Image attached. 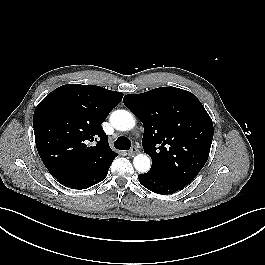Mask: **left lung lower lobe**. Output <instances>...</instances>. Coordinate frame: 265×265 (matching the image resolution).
I'll return each mask as SVG.
<instances>
[{
  "instance_id": "1",
  "label": "left lung lower lobe",
  "mask_w": 265,
  "mask_h": 265,
  "mask_svg": "<svg viewBox=\"0 0 265 265\" xmlns=\"http://www.w3.org/2000/svg\"><path fill=\"white\" fill-rule=\"evenodd\" d=\"M139 182L148 190L157 194H170L181 190L187 184L174 180L157 171L151 170L138 176Z\"/></svg>"
}]
</instances>
